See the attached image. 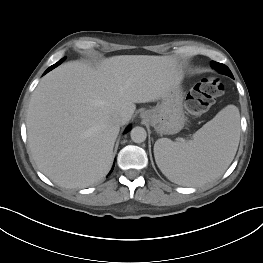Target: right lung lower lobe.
<instances>
[{
	"label": "right lung lower lobe",
	"instance_id": "98d812e1",
	"mask_svg": "<svg viewBox=\"0 0 263 263\" xmlns=\"http://www.w3.org/2000/svg\"><path fill=\"white\" fill-rule=\"evenodd\" d=\"M65 59H66V57L63 58V59H61L59 62H57L56 64L52 65L51 67H49V68L45 71L44 74H46V73L49 72L50 70L54 69V68L57 67L58 65H60ZM129 130H130V126L126 129V132L129 131ZM112 170H113V169H112ZM112 170H111V172H112ZM111 172H110V173H111Z\"/></svg>",
	"mask_w": 263,
	"mask_h": 263
}]
</instances>
